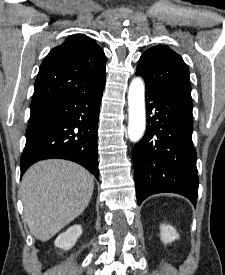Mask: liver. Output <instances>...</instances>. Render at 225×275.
<instances>
[{
    "label": "liver",
    "instance_id": "obj_1",
    "mask_svg": "<svg viewBox=\"0 0 225 275\" xmlns=\"http://www.w3.org/2000/svg\"><path fill=\"white\" fill-rule=\"evenodd\" d=\"M93 176L82 166L59 159L31 166L21 182L24 216L31 234L45 242L88 206Z\"/></svg>",
    "mask_w": 225,
    "mask_h": 275
}]
</instances>
